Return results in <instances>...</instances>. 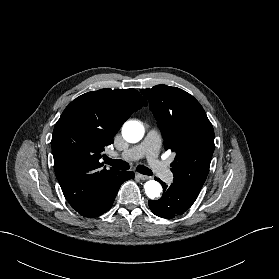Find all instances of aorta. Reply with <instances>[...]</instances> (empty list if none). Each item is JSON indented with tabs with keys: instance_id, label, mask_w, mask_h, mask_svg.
<instances>
[{
	"instance_id": "1",
	"label": "aorta",
	"mask_w": 279,
	"mask_h": 279,
	"mask_svg": "<svg viewBox=\"0 0 279 279\" xmlns=\"http://www.w3.org/2000/svg\"><path fill=\"white\" fill-rule=\"evenodd\" d=\"M144 127L138 121H127L122 127V135L127 142L137 143L144 136ZM146 195L150 199L158 197L162 191V186L155 180H149L144 184Z\"/></svg>"
}]
</instances>
